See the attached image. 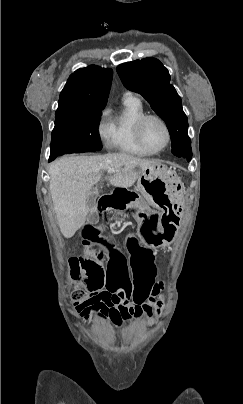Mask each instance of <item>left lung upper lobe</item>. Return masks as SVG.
<instances>
[{
	"instance_id": "left-lung-upper-lobe-1",
	"label": "left lung upper lobe",
	"mask_w": 243,
	"mask_h": 404,
	"mask_svg": "<svg viewBox=\"0 0 243 404\" xmlns=\"http://www.w3.org/2000/svg\"><path fill=\"white\" fill-rule=\"evenodd\" d=\"M124 86L141 94L166 123L175 156H192L188 121L181 98L170 84L168 70L155 58H145L117 67Z\"/></svg>"
}]
</instances>
